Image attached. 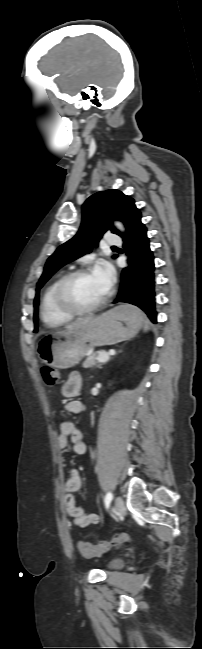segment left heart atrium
I'll return each mask as SVG.
<instances>
[{
	"label": "left heart atrium",
	"instance_id": "left-heart-atrium-1",
	"mask_svg": "<svg viewBox=\"0 0 202 649\" xmlns=\"http://www.w3.org/2000/svg\"><path fill=\"white\" fill-rule=\"evenodd\" d=\"M92 276L95 280L101 285V287L107 291L114 280V270L112 266L104 260H100L95 265Z\"/></svg>",
	"mask_w": 202,
	"mask_h": 649
}]
</instances>
